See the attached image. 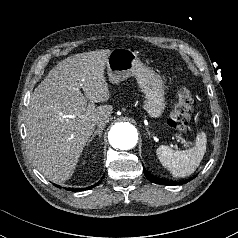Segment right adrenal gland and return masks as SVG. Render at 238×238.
Wrapping results in <instances>:
<instances>
[{
  "instance_id": "1",
  "label": "right adrenal gland",
  "mask_w": 238,
  "mask_h": 238,
  "mask_svg": "<svg viewBox=\"0 0 238 238\" xmlns=\"http://www.w3.org/2000/svg\"><path fill=\"white\" fill-rule=\"evenodd\" d=\"M103 129H104V127H101V128H99V129H96V130H95L94 134L89 138L88 143H87V146H88L89 143L94 139V137H95L96 135H98V138H99V139L101 138Z\"/></svg>"
}]
</instances>
